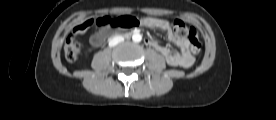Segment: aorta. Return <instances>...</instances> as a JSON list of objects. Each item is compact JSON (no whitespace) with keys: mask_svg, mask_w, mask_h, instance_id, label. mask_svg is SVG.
Wrapping results in <instances>:
<instances>
[{"mask_svg":"<svg viewBox=\"0 0 276 120\" xmlns=\"http://www.w3.org/2000/svg\"><path fill=\"white\" fill-rule=\"evenodd\" d=\"M132 40L136 43L140 42L142 40V35L140 33H134L132 35Z\"/></svg>","mask_w":276,"mask_h":120,"instance_id":"aorta-1","label":"aorta"}]
</instances>
